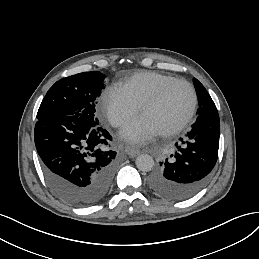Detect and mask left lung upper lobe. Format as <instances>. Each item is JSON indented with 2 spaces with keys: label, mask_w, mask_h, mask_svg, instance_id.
<instances>
[{
  "label": "left lung upper lobe",
  "mask_w": 259,
  "mask_h": 259,
  "mask_svg": "<svg viewBox=\"0 0 259 259\" xmlns=\"http://www.w3.org/2000/svg\"><path fill=\"white\" fill-rule=\"evenodd\" d=\"M194 82V86L197 92V96H198V102H199V110H198V114L200 115H204V114H208V113H214L217 112V108L212 100V98L210 97L209 93L206 91V89L204 88V86L197 80V79H193Z\"/></svg>",
  "instance_id": "5c2ea615"
}]
</instances>
